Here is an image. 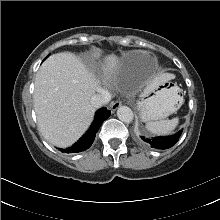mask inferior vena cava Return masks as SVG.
Masks as SVG:
<instances>
[{
  "mask_svg": "<svg viewBox=\"0 0 220 220\" xmlns=\"http://www.w3.org/2000/svg\"><path fill=\"white\" fill-rule=\"evenodd\" d=\"M111 100V95L108 91H101L99 94H95L91 98V103L95 108H100L109 103Z\"/></svg>",
  "mask_w": 220,
  "mask_h": 220,
  "instance_id": "inferior-vena-cava-1",
  "label": "inferior vena cava"
}]
</instances>
